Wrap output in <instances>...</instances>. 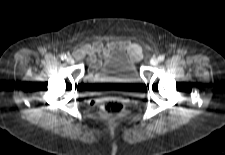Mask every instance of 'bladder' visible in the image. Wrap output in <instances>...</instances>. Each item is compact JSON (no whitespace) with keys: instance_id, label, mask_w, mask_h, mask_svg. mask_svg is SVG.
<instances>
[{"instance_id":"bladder-1","label":"bladder","mask_w":225,"mask_h":155,"mask_svg":"<svg viewBox=\"0 0 225 155\" xmlns=\"http://www.w3.org/2000/svg\"><path fill=\"white\" fill-rule=\"evenodd\" d=\"M98 72L129 94L136 95L142 90L138 69L124 51H113L104 60L95 63L91 69V76Z\"/></svg>"}]
</instances>
